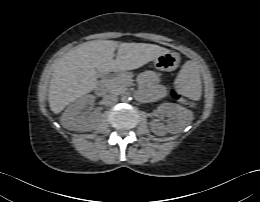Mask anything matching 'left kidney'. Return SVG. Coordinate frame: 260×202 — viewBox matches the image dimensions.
Listing matches in <instances>:
<instances>
[{
  "instance_id": "obj_1",
  "label": "left kidney",
  "mask_w": 260,
  "mask_h": 202,
  "mask_svg": "<svg viewBox=\"0 0 260 202\" xmlns=\"http://www.w3.org/2000/svg\"><path fill=\"white\" fill-rule=\"evenodd\" d=\"M158 112L170 118L167 125L157 121L150 122V128L156 135L163 136L166 133H179L187 127L193 119V113L175 103H163L158 107Z\"/></svg>"
}]
</instances>
